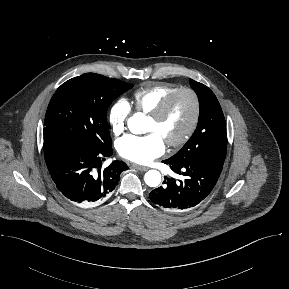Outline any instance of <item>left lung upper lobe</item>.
<instances>
[{"label":"left lung upper lobe","mask_w":289,"mask_h":289,"mask_svg":"<svg viewBox=\"0 0 289 289\" xmlns=\"http://www.w3.org/2000/svg\"><path fill=\"white\" fill-rule=\"evenodd\" d=\"M190 85L199 99V121L192 137L174 156L173 163L200 158L225 160L227 152L226 122L214 93L204 84L190 79Z\"/></svg>","instance_id":"obj_1"}]
</instances>
